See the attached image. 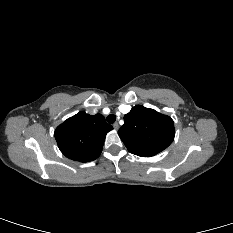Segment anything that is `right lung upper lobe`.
<instances>
[{"mask_svg":"<svg viewBox=\"0 0 233 233\" xmlns=\"http://www.w3.org/2000/svg\"><path fill=\"white\" fill-rule=\"evenodd\" d=\"M112 129L103 115H89L81 111L59 125L54 136L66 157L89 162L99 157L106 134Z\"/></svg>","mask_w":233,"mask_h":233,"instance_id":"1","label":"right lung upper lobe"}]
</instances>
